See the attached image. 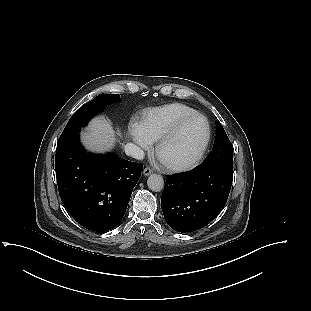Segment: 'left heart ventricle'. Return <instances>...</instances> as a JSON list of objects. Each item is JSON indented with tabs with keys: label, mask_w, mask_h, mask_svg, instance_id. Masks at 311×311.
Instances as JSON below:
<instances>
[{
	"label": "left heart ventricle",
	"mask_w": 311,
	"mask_h": 311,
	"mask_svg": "<svg viewBox=\"0 0 311 311\" xmlns=\"http://www.w3.org/2000/svg\"><path fill=\"white\" fill-rule=\"evenodd\" d=\"M205 138V124L200 118L187 122L180 132L161 150L165 162L183 163L191 160L200 149Z\"/></svg>",
	"instance_id": "obj_1"
}]
</instances>
